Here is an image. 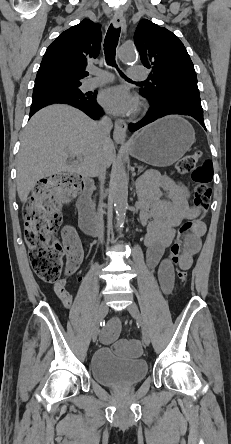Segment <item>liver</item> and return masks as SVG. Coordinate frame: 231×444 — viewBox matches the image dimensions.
I'll return each instance as SVG.
<instances>
[{"label": "liver", "mask_w": 231, "mask_h": 444, "mask_svg": "<svg viewBox=\"0 0 231 444\" xmlns=\"http://www.w3.org/2000/svg\"><path fill=\"white\" fill-rule=\"evenodd\" d=\"M20 143L16 184L21 202L40 179L63 172L90 177L100 159L107 168L115 156L112 140L101 138L97 122L61 104L39 110L22 132Z\"/></svg>", "instance_id": "1"}]
</instances>
